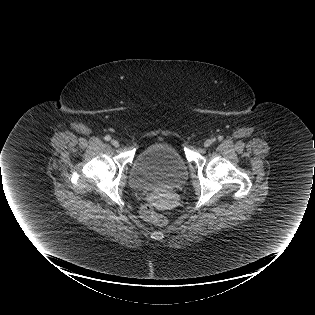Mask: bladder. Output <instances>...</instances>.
Wrapping results in <instances>:
<instances>
[{
    "label": "bladder",
    "instance_id": "bladder-1",
    "mask_svg": "<svg viewBox=\"0 0 315 315\" xmlns=\"http://www.w3.org/2000/svg\"><path fill=\"white\" fill-rule=\"evenodd\" d=\"M187 179L186 164L175 147L158 142L142 150L134 160L129 177L136 190L179 187Z\"/></svg>",
    "mask_w": 315,
    "mask_h": 315
}]
</instances>
